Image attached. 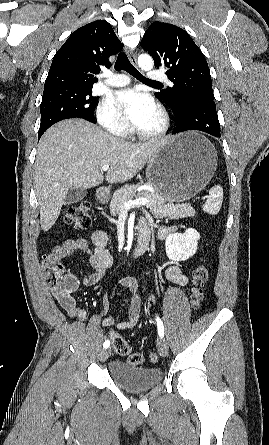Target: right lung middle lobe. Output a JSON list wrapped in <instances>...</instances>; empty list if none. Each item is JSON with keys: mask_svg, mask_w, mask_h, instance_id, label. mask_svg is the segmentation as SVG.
Segmentation results:
<instances>
[{"mask_svg": "<svg viewBox=\"0 0 269 445\" xmlns=\"http://www.w3.org/2000/svg\"><path fill=\"white\" fill-rule=\"evenodd\" d=\"M91 87H68L43 91L40 106L42 134L54 123L68 118H83L95 123L94 108L99 97L92 95Z\"/></svg>", "mask_w": 269, "mask_h": 445, "instance_id": "dd1d6c3e", "label": "right lung middle lobe"}]
</instances>
